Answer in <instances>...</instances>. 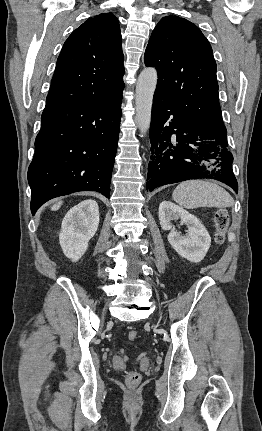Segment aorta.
Here are the masks:
<instances>
[{
    "mask_svg": "<svg viewBox=\"0 0 262 431\" xmlns=\"http://www.w3.org/2000/svg\"><path fill=\"white\" fill-rule=\"evenodd\" d=\"M157 71L145 68L138 76L135 94L136 122L143 137L150 128L153 95L157 85Z\"/></svg>",
    "mask_w": 262,
    "mask_h": 431,
    "instance_id": "762f6f07",
    "label": "aorta"
}]
</instances>
